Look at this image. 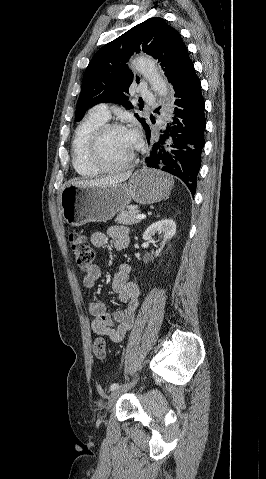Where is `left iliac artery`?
<instances>
[{
	"label": "left iliac artery",
	"instance_id": "44dca946",
	"mask_svg": "<svg viewBox=\"0 0 266 479\" xmlns=\"http://www.w3.org/2000/svg\"><path fill=\"white\" fill-rule=\"evenodd\" d=\"M119 387H120V385L118 383H113V384H111L110 389L112 391H114V390L119 389Z\"/></svg>",
	"mask_w": 266,
	"mask_h": 479
}]
</instances>
